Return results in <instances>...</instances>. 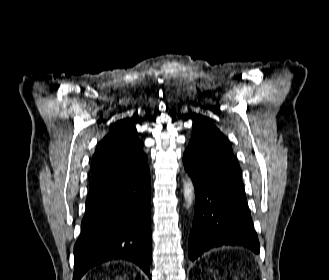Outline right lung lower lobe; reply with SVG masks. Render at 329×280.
Returning a JSON list of instances; mask_svg holds the SVG:
<instances>
[{"instance_id": "right-lung-lower-lobe-1", "label": "right lung lower lobe", "mask_w": 329, "mask_h": 280, "mask_svg": "<svg viewBox=\"0 0 329 280\" xmlns=\"http://www.w3.org/2000/svg\"><path fill=\"white\" fill-rule=\"evenodd\" d=\"M150 199L148 166L92 178L81 235L74 246L73 280L116 259L136 263L150 277Z\"/></svg>"}]
</instances>
